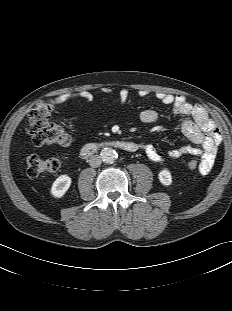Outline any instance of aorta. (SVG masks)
I'll use <instances>...</instances> for the list:
<instances>
[{"label":"aorta","instance_id":"obj_1","mask_svg":"<svg viewBox=\"0 0 232 311\" xmlns=\"http://www.w3.org/2000/svg\"><path fill=\"white\" fill-rule=\"evenodd\" d=\"M117 157H118V154L111 147H106L101 151V158L105 163L111 164L115 162Z\"/></svg>","mask_w":232,"mask_h":311}]
</instances>
